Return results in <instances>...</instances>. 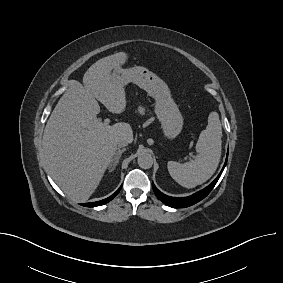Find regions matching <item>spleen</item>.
Instances as JSON below:
<instances>
[{"label": "spleen", "mask_w": 283, "mask_h": 283, "mask_svg": "<svg viewBox=\"0 0 283 283\" xmlns=\"http://www.w3.org/2000/svg\"><path fill=\"white\" fill-rule=\"evenodd\" d=\"M222 127L217 112L208 116V125L196 143L197 156L184 164L169 161L167 164L171 177L181 186L194 188L201 185L215 173L221 157Z\"/></svg>", "instance_id": "3e777b00"}]
</instances>
